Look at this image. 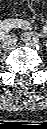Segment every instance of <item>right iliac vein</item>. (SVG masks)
<instances>
[{
  "instance_id": "obj_1",
  "label": "right iliac vein",
  "mask_w": 47,
  "mask_h": 129,
  "mask_svg": "<svg viewBox=\"0 0 47 129\" xmlns=\"http://www.w3.org/2000/svg\"><path fill=\"white\" fill-rule=\"evenodd\" d=\"M15 45V38L13 35L6 36L2 41V48L4 50H11Z\"/></svg>"
}]
</instances>
